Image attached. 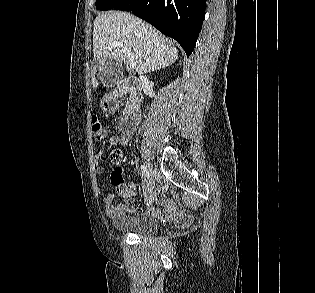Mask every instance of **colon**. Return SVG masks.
Wrapping results in <instances>:
<instances>
[{
	"label": "colon",
	"instance_id": "obj_1",
	"mask_svg": "<svg viewBox=\"0 0 315 293\" xmlns=\"http://www.w3.org/2000/svg\"><path fill=\"white\" fill-rule=\"evenodd\" d=\"M92 131H93L94 138L96 140H103L106 136V132L97 117L93 118ZM120 157L121 155L119 151L114 152L111 156L112 160L115 162L119 161ZM111 180H112L113 185L116 187L118 193L122 196H123L124 190H133V189L128 188L125 184H123L122 172L120 169H116L112 173Z\"/></svg>",
	"mask_w": 315,
	"mask_h": 293
}]
</instances>
